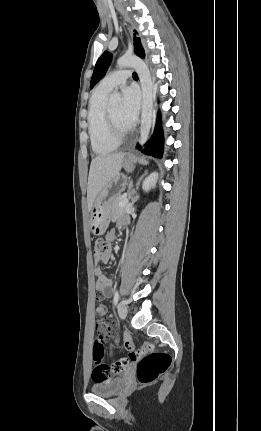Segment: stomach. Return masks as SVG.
<instances>
[{
    "label": "stomach",
    "instance_id": "1",
    "mask_svg": "<svg viewBox=\"0 0 261 431\" xmlns=\"http://www.w3.org/2000/svg\"><path fill=\"white\" fill-rule=\"evenodd\" d=\"M122 165L125 171L131 172L134 169L132 157L125 158ZM125 185V176L119 174L96 198L90 221V229L94 235L99 236L105 233L111 219L112 201L120 194Z\"/></svg>",
    "mask_w": 261,
    "mask_h": 431
}]
</instances>
